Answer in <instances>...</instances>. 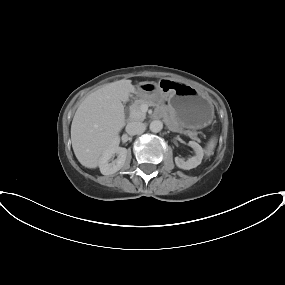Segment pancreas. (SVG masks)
I'll use <instances>...</instances> for the list:
<instances>
[{"label":"pancreas","mask_w":285,"mask_h":285,"mask_svg":"<svg viewBox=\"0 0 285 285\" xmlns=\"http://www.w3.org/2000/svg\"><path fill=\"white\" fill-rule=\"evenodd\" d=\"M143 104L147 106H156V103L153 100L146 99V98H139L134 101V103L130 106V118L132 120H144L145 114L141 113L140 108ZM188 136L192 139L197 140V132L194 131H186Z\"/></svg>","instance_id":"cf45deb5"}]
</instances>
